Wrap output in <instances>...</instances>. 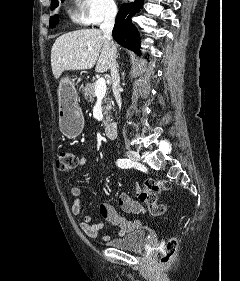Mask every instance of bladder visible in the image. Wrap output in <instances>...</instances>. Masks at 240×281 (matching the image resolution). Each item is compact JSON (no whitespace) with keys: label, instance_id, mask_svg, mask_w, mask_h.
I'll return each mask as SVG.
<instances>
[{"label":"bladder","instance_id":"31cf9c89","mask_svg":"<svg viewBox=\"0 0 240 281\" xmlns=\"http://www.w3.org/2000/svg\"><path fill=\"white\" fill-rule=\"evenodd\" d=\"M147 240V232L143 229L134 230L123 237L113 239L108 245L127 251H136L143 247Z\"/></svg>","mask_w":240,"mask_h":281}]
</instances>
